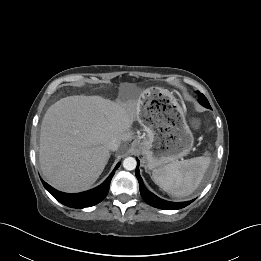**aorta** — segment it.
<instances>
[{"label": "aorta", "instance_id": "762f6f07", "mask_svg": "<svg viewBox=\"0 0 261 261\" xmlns=\"http://www.w3.org/2000/svg\"><path fill=\"white\" fill-rule=\"evenodd\" d=\"M136 165H137V161L133 157H127L123 160V167L126 170L129 171L134 170L136 168Z\"/></svg>", "mask_w": 261, "mask_h": 261}]
</instances>
